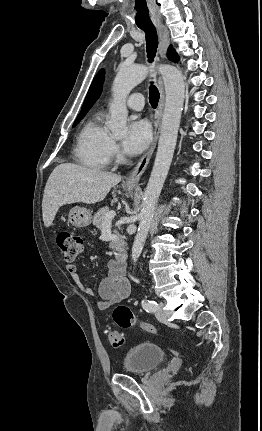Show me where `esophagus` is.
Returning a JSON list of instances; mask_svg holds the SVG:
<instances>
[{
  "instance_id": "34e87169",
  "label": "esophagus",
  "mask_w": 262,
  "mask_h": 431,
  "mask_svg": "<svg viewBox=\"0 0 262 431\" xmlns=\"http://www.w3.org/2000/svg\"><path fill=\"white\" fill-rule=\"evenodd\" d=\"M156 27L160 38V55L162 58H165L167 48L169 46V31L163 24H158ZM159 86H160V100H159L158 108L155 113V127H154L153 141L151 143L150 148L144 153V155L142 156L138 164L135 166L133 171L126 178L125 182L127 186H138L139 180L142 174L144 173V171L146 170L157 144V140H158L160 128H161L162 117H163L164 99H165L163 80L161 77L159 78Z\"/></svg>"
}]
</instances>
